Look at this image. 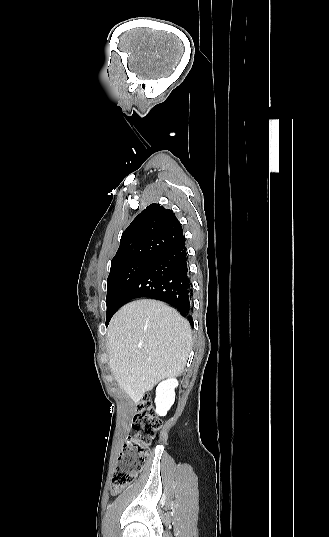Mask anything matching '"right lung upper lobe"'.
Segmentation results:
<instances>
[{"label":"right lung upper lobe","instance_id":"obj_1","mask_svg":"<svg viewBox=\"0 0 329 537\" xmlns=\"http://www.w3.org/2000/svg\"><path fill=\"white\" fill-rule=\"evenodd\" d=\"M183 238L182 226L173 211L151 204L123 232L111 270L135 260L152 261Z\"/></svg>","mask_w":329,"mask_h":537}]
</instances>
